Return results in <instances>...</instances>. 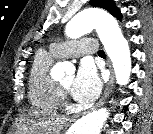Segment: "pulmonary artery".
I'll return each mask as SVG.
<instances>
[{
  "instance_id": "pulmonary-artery-1",
  "label": "pulmonary artery",
  "mask_w": 153,
  "mask_h": 134,
  "mask_svg": "<svg viewBox=\"0 0 153 134\" xmlns=\"http://www.w3.org/2000/svg\"><path fill=\"white\" fill-rule=\"evenodd\" d=\"M51 52L56 57H79L97 52L96 42L92 38H83L51 45Z\"/></svg>"
}]
</instances>
